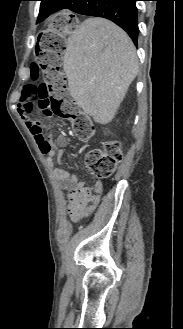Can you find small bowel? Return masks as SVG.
I'll list each match as a JSON object with an SVG mask.
<instances>
[{"label":"small bowel","instance_id":"small-bowel-1","mask_svg":"<svg viewBox=\"0 0 183 329\" xmlns=\"http://www.w3.org/2000/svg\"><path fill=\"white\" fill-rule=\"evenodd\" d=\"M20 116L38 145L40 152L46 156V161L49 164L53 163L56 158V150L65 146L67 137L65 135H60L55 141H50L48 139L51 147L47 152L43 153L40 148L41 140L47 137L44 135L42 127L33 119L31 115L20 114ZM59 175L62 178L68 179L72 184L70 203L68 206L71 219L73 221H79L94 212L100 202L103 191L102 183L95 182L93 189L91 190L85 187V182L79 179L77 175H70L68 172L63 170L59 171ZM74 192L79 193L80 201L75 199Z\"/></svg>","mask_w":183,"mask_h":329}]
</instances>
